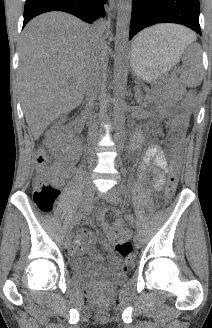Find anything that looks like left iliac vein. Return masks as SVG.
Returning <instances> with one entry per match:
<instances>
[{
	"label": "left iliac vein",
	"instance_id": "obj_1",
	"mask_svg": "<svg viewBox=\"0 0 212 328\" xmlns=\"http://www.w3.org/2000/svg\"><path fill=\"white\" fill-rule=\"evenodd\" d=\"M107 199L114 205H118L120 203V192L117 188H112L108 194H107ZM134 245L137 248H140L142 245V238L140 234L136 233L134 236Z\"/></svg>",
	"mask_w": 212,
	"mask_h": 328
}]
</instances>
